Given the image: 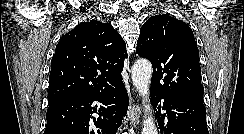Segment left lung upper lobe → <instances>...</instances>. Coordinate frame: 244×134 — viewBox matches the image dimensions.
<instances>
[{"mask_svg": "<svg viewBox=\"0 0 244 134\" xmlns=\"http://www.w3.org/2000/svg\"><path fill=\"white\" fill-rule=\"evenodd\" d=\"M136 52L152 63L151 87L203 101L198 47L186 23L169 15L150 17L140 29Z\"/></svg>", "mask_w": 244, "mask_h": 134, "instance_id": "1", "label": "left lung upper lobe"}]
</instances>
